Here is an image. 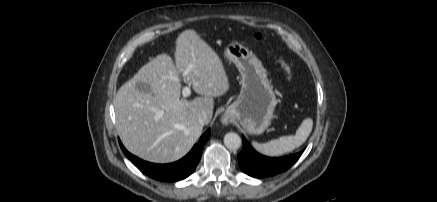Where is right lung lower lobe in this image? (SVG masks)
Instances as JSON below:
<instances>
[{"instance_id": "98d812e1", "label": "right lung lower lobe", "mask_w": 437, "mask_h": 202, "mask_svg": "<svg viewBox=\"0 0 437 202\" xmlns=\"http://www.w3.org/2000/svg\"><path fill=\"white\" fill-rule=\"evenodd\" d=\"M210 134L211 131L208 129L202 135L198 144H195L185 157L170 164H154L146 162L129 153L120 141L119 143L126 157L130 159L142 173L159 181L171 182L185 179L193 173L199 163L204 145L209 139Z\"/></svg>"}]
</instances>
